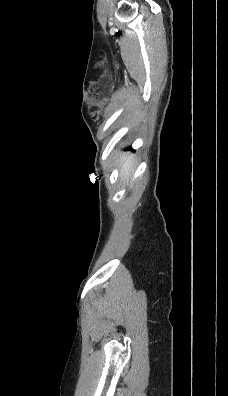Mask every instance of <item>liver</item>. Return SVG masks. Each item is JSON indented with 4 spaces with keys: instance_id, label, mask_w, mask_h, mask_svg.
I'll return each mask as SVG.
<instances>
[{
    "instance_id": "obj_1",
    "label": "liver",
    "mask_w": 228,
    "mask_h": 396,
    "mask_svg": "<svg viewBox=\"0 0 228 396\" xmlns=\"http://www.w3.org/2000/svg\"><path fill=\"white\" fill-rule=\"evenodd\" d=\"M119 163H121V172L120 175L127 180L133 172V156H125L123 155Z\"/></svg>"
}]
</instances>
